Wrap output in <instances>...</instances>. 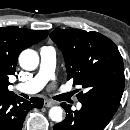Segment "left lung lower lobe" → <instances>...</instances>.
Instances as JSON below:
<instances>
[{
	"instance_id": "0a47b994",
	"label": "left lung lower lobe",
	"mask_w": 130,
	"mask_h": 130,
	"mask_svg": "<svg viewBox=\"0 0 130 130\" xmlns=\"http://www.w3.org/2000/svg\"><path fill=\"white\" fill-rule=\"evenodd\" d=\"M80 110L72 111L71 105L65 102L61 106L66 111L63 122L55 124L53 130H103L115 112L116 108L99 100H80Z\"/></svg>"
}]
</instances>
